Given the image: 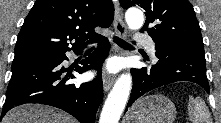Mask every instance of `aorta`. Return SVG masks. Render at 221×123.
I'll use <instances>...</instances> for the list:
<instances>
[{"label":"aorta","mask_w":221,"mask_h":123,"mask_svg":"<svg viewBox=\"0 0 221 123\" xmlns=\"http://www.w3.org/2000/svg\"><path fill=\"white\" fill-rule=\"evenodd\" d=\"M125 20L130 29L136 30L143 26L144 16L141 10L130 8L125 13ZM131 85L132 78L129 73L120 75L105 101L99 123H118L127 103Z\"/></svg>","instance_id":"obj_1"}]
</instances>
